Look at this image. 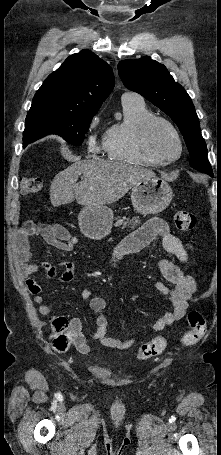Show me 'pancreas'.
I'll list each match as a JSON object with an SVG mask.
<instances>
[{
  "mask_svg": "<svg viewBox=\"0 0 221 455\" xmlns=\"http://www.w3.org/2000/svg\"><path fill=\"white\" fill-rule=\"evenodd\" d=\"M141 223L140 218L138 216H135L133 218H117L116 226L122 225L123 228L129 227L131 229H134L136 226H138Z\"/></svg>",
  "mask_w": 221,
  "mask_h": 455,
  "instance_id": "obj_1",
  "label": "pancreas"
}]
</instances>
